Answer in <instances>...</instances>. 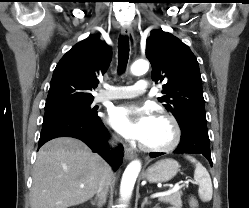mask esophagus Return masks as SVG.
<instances>
[{
  "mask_svg": "<svg viewBox=\"0 0 249 208\" xmlns=\"http://www.w3.org/2000/svg\"><path fill=\"white\" fill-rule=\"evenodd\" d=\"M121 33L122 35L127 36L129 38L131 49L134 52L136 48V42L132 28L130 26H123L121 29ZM124 155L126 160H132L136 157V153L131 148L128 147L125 148Z\"/></svg>",
  "mask_w": 249,
  "mask_h": 208,
  "instance_id": "esophagus-1",
  "label": "esophagus"
}]
</instances>
